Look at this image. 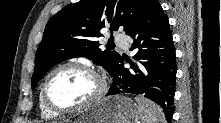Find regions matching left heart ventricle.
<instances>
[{
    "label": "left heart ventricle",
    "mask_w": 221,
    "mask_h": 123,
    "mask_svg": "<svg viewBox=\"0 0 221 123\" xmlns=\"http://www.w3.org/2000/svg\"><path fill=\"white\" fill-rule=\"evenodd\" d=\"M98 87V80L90 73L78 68H65L51 78L48 95L56 105L68 107L89 100Z\"/></svg>",
    "instance_id": "1"
}]
</instances>
